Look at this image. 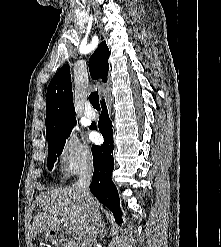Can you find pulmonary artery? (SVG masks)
Wrapping results in <instances>:
<instances>
[{"label": "pulmonary artery", "mask_w": 221, "mask_h": 247, "mask_svg": "<svg viewBox=\"0 0 221 247\" xmlns=\"http://www.w3.org/2000/svg\"><path fill=\"white\" fill-rule=\"evenodd\" d=\"M84 115H85V117L88 118V119H94L95 116H96V113H95V111L88 105V106L85 108Z\"/></svg>", "instance_id": "1"}]
</instances>
